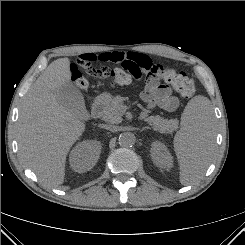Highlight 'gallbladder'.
<instances>
[{
	"mask_svg": "<svg viewBox=\"0 0 245 245\" xmlns=\"http://www.w3.org/2000/svg\"><path fill=\"white\" fill-rule=\"evenodd\" d=\"M59 104L68 109L78 118L86 117L84 98L79 89L71 82H67L57 91Z\"/></svg>",
	"mask_w": 245,
	"mask_h": 245,
	"instance_id": "1",
	"label": "gallbladder"
}]
</instances>
